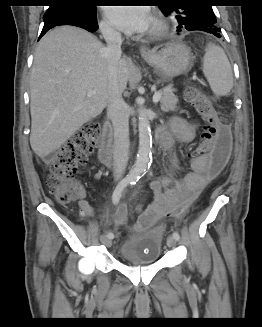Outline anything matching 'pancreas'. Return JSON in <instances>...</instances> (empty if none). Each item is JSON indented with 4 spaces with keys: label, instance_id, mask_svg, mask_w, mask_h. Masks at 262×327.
Masks as SVG:
<instances>
[{
    "label": "pancreas",
    "instance_id": "cf45deb5",
    "mask_svg": "<svg viewBox=\"0 0 262 327\" xmlns=\"http://www.w3.org/2000/svg\"><path fill=\"white\" fill-rule=\"evenodd\" d=\"M161 110L163 112L175 111L177 109L178 98L172 90H163L161 92Z\"/></svg>",
    "mask_w": 262,
    "mask_h": 327
}]
</instances>
